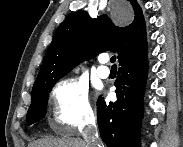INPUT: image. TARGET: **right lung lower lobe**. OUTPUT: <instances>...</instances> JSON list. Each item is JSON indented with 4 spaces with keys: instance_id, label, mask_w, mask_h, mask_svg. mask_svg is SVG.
Here are the masks:
<instances>
[{
    "instance_id": "right-lung-lower-lobe-1",
    "label": "right lung lower lobe",
    "mask_w": 183,
    "mask_h": 147,
    "mask_svg": "<svg viewBox=\"0 0 183 147\" xmlns=\"http://www.w3.org/2000/svg\"><path fill=\"white\" fill-rule=\"evenodd\" d=\"M147 50L119 62L117 101H97L98 127L108 147H139L143 96L148 72Z\"/></svg>"
}]
</instances>
